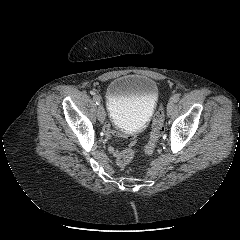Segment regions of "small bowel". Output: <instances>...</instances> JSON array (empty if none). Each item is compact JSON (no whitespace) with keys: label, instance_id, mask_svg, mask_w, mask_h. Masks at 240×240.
Wrapping results in <instances>:
<instances>
[{"label":"small bowel","instance_id":"c3829d8e","mask_svg":"<svg viewBox=\"0 0 240 240\" xmlns=\"http://www.w3.org/2000/svg\"><path fill=\"white\" fill-rule=\"evenodd\" d=\"M104 128H103V131L106 133V136H107V139L108 140H111L112 137H117L118 136H121L123 135L125 138H128V145L130 147H135L137 145V137L135 135H129L126 131H118L116 132L115 130H110V125H111V122L109 120H106L104 122ZM109 151L116 157H118L120 155V151L117 150L116 148L114 147H110L109 148Z\"/></svg>","mask_w":240,"mask_h":240}]
</instances>
